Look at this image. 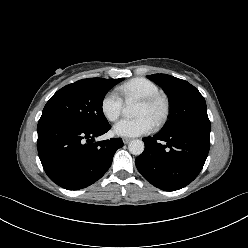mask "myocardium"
Listing matches in <instances>:
<instances>
[{"instance_id": "f54148a6", "label": "myocardium", "mask_w": 248, "mask_h": 248, "mask_svg": "<svg viewBox=\"0 0 248 248\" xmlns=\"http://www.w3.org/2000/svg\"><path fill=\"white\" fill-rule=\"evenodd\" d=\"M139 103L148 107H155L157 105L162 106V113L160 117L153 123L154 127L159 128L163 126L168 120L170 114V104L166 96L162 94L153 95L140 99Z\"/></svg>"}]
</instances>
